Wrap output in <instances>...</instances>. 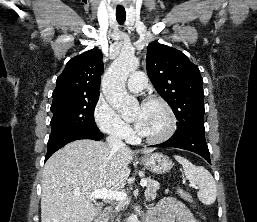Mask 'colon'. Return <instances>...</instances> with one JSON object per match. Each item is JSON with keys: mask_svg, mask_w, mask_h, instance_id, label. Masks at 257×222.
<instances>
[{"mask_svg": "<svg viewBox=\"0 0 257 222\" xmlns=\"http://www.w3.org/2000/svg\"><path fill=\"white\" fill-rule=\"evenodd\" d=\"M179 195L186 201H192V196L184 189H179Z\"/></svg>", "mask_w": 257, "mask_h": 222, "instance_id": "1", "label": "colon"}]
</instances>
